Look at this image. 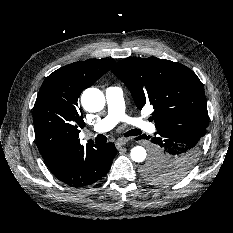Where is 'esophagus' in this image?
Returning a JSON list of instances; mask_svg holds the SVG:
<instances>
[{
  "label": "esophagus",
  "instance_id": "1",
  "mask_svg": "<svg viewBox=\"0 0 233 233\" xmlns=\"http://www.w3.org/2000/svg\"><path fill=\"white\" fill-rule=\"evenodd\" d=\"M127 142H128V139H126V138H119V139L116 141L115 145H116L117 148H120V147H122L123 145H125Z\"/></svg>",
  "mask_w": 233,
  "mask_h": 233
}]
</instances>
